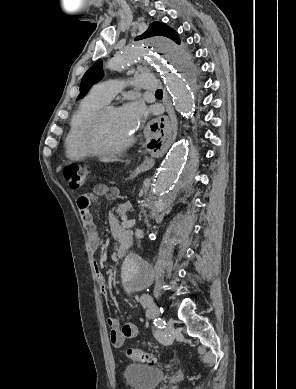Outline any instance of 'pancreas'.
Returning <instances> with one entry per match:
<instances>
[{
    "label": "pancreas",
    "instance_id": "obj_1",
    "mask_svg": "<svg viewBox=\"0 0 296 389\" xmlns=\"http://www.w3.org/2000/svg\"><path fill=\"white\" fill-rule=\"evenodd\" d=\"M131 210H132V205L129 202H127L124 204H119L116 212L121 217V219L124 220L127 219L126 213Z\"/></svg>",
    "mask_w": 296,
    "mask_h": 389
}]
</instances>
